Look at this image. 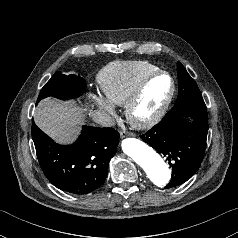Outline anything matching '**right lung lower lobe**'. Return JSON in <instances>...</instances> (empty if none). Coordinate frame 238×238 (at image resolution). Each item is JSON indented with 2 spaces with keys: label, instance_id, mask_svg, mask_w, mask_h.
<instances>
[{
  "label": "right lung lower lobe",
  "instance_id": "obj_1",
  "mask_svg": "<svg viewBox=\"0 0 238 238\" xmlns=\"http://www.w3.org/2000/svg\"><path fill=\"white\" fill-rule=\"evenodd\" d=\"M32 138L48 180L62 191L82 195L104 183L119 133L112 128L83 126L77 141L65 146L55 143L32 121Z\"/></svg>",
  "mask_w": 238,
  "mask_h": 238
}]
</instances>
